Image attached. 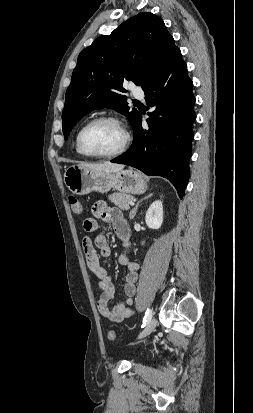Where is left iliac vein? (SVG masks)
Wrapping results in <instances>:
<instances>
[{
  "label": "left iliac vein",
  "instance_id": "left-iliac-vein-1",
  "mask_svg": "<svg viewBox=\"0 0 253 413\" xmlns=\"http://www.w3.org/2000/svg\"><path fill=\"white\" fill-rule=\"evenodd\" d=\"M156 323H157L156 319L151 318L147 322L145 328L139 334L138 338L141 339V338H144V337L148 336L154 330V328L156 327Z\"/></svg>",
  "mask_w": 253,
  "mask_h": 413
}]
</instances>
